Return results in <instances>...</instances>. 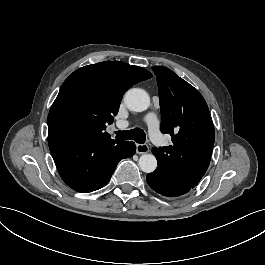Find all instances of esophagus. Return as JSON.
Masks as SVG:
<instances>
[{"label": "esophagus", "instance_id": "34e87169", "mask_svg": "<svg viewBox=\"0 0 265 265\" xmlns=\"http://www.w3.org/2000/svg\"><path fill=\"white\" fill-rule=\"evenodd\" d=\"M149 152V146L147 144H136V153L145 154Z\"/></svg>", "mask_w": 265, "mask_h": 265}]
</instances>
